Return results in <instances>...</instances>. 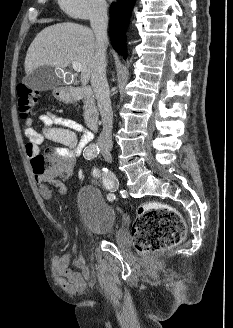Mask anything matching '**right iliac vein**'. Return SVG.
Returning a JSON list of instances; mask_svg holds the SVG:
<instances>
[{
	"label": "right iliac vein",
	"instance_id": "1",
	"mask_svg": "<svg viewBox=\"0 0 233 328\" xmlns=\"http://www.w3.org/2000/svg\"><path fill=\"white\" fill-rule=\"evenodd\" d=\"M102 152L105 154H110V150L108 148H102Z\"/></svg>",
	"mask_w": 233,
	"mask_h": 328
}]
</instances>
